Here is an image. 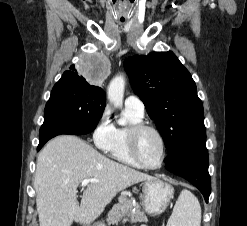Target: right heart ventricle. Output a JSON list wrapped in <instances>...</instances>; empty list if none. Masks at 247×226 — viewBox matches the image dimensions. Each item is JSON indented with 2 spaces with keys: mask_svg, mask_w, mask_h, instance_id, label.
<instances>
[{
  "mask_svg": "<svg viewBox=\"0 0 247 226\" xmlns=\"http://www.w3.org/2000/svg\"><path fill=\"white\" fill-rule=\"evenodd\" d=\"M123 116L127 121V124L125 126L112 125L111 141L104 151L109 157L118 162L132 167H140L129 153L127 134L131 126L143 122L144 115L139 114L132 109L125 108Z\"/></svg>",
  "mask_w": 247,
  "mask_h": 226,
  "instance_id": "e07e8e85",
  "label": "right heart ventricle"
}]
</instances>
